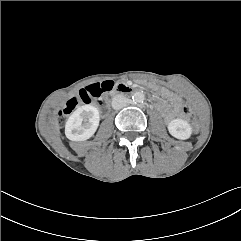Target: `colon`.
Listing matches in <instances>:
<instances>
[{
  "instance_id": "colon-1",
  "label": "colon",
  "mask_w": 241,
  "mask_h": 241,
  "mask_svg": "<svg viewBox=\"0 0 241 241\" xmlns=\"http://www.w3.org/2000/svg\"><path fill=\"white\" fill-rule=\"evenodd\" d=\"M112 85L113 83L111 81L88 85L81 90L78 97L72 98L63 106L59 112L60 118L64 119L70 115L80 104H89L93 101L100 103V97L102 94L109 91ZM182 112L186 117H191L189 121L193 125H191L189 129L193 133L196 132L198 128L194 124H196L198 120L194 117L195 112L192 106L185 105Z\"/></svg>"
}]
</instances>
